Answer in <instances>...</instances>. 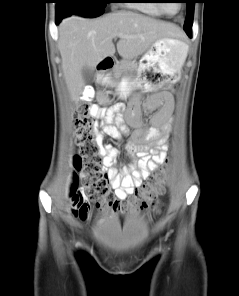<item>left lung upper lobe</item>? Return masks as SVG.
Returning a JSON list of instances; mask_svg holds the SVG:
<instances>
[{
    "label": "left lung upper lobe",
    "mask_w": 239,
    "mask_h": 296,
    "mask_svg": "<svg viewBox=\"0 0 239 296\" xmlns=\"http://www.w3.org/2000/svg\"><path fill=\"white\" fill-rule=\"evenodd\" d=\"M185 3H187V9H186L187 14H186L184 27L192 28L195 0H186Z\"/></svg>",
    "instance_id": "left-lung-upper-lobe-1"
}]
</instances>
